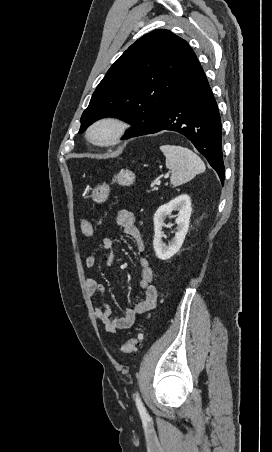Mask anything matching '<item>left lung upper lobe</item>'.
I'll use <instances>...</instances> for the list:
<instances>
[{
    "instance_id": "left-lung-upper-lobe-1",
    "label": "left lung upper lobe",
    "mask_w": 272,
    "mask_h": 452,
    "mask_svg": "<svg viewBox=\"0 0 272 452\" xmlns=\"http://www.w3.org/2000/svg\"><path fill=\"white\" fill-rule=\"evenodd\" d=\"M188 43L165 29L145 34L110 67L81 117L82 133L101 117L116 116L135 130L154 125L195 60Z\"/></svg>"
}]
</instances>
